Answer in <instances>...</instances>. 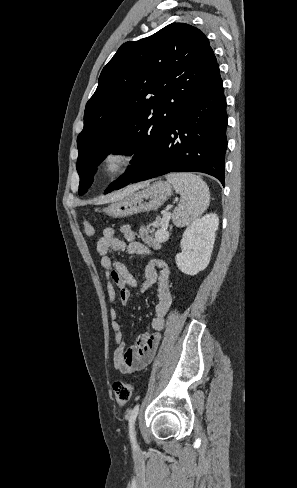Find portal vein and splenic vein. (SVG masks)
<instances>
[{
    "label": "portal vein and splenic vein",
    "mask_w": 297,
    "mask_h": 488,
    "mask_svg": "<svg viewBox=\"0 0 297 488\" xmlns=\"http://www.w3.org/2000/svg\"><path fill=\"white\" fill-rule=\"evenodd\" d=\"M162 214H163V218H162V219H163V221H164L165 223H167V222L170 220L171 214H169V213L167 212V210H164V211L162 212ZM158 233H159V232H157V233H156V236L158 235Z\"/></svg>",
    "instance_id": "obj_1"
}]
</instances>
